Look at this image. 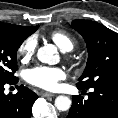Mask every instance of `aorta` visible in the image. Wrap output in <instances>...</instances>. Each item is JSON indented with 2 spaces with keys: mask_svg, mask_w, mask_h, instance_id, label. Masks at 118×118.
Returning a JSON list of instances; mask_svg holds the SVG:
<instances>
[{
  "mask_svg": "<svg viewBox=\"0 0 118 118\" xmlns=\"http://www.w3.org/2000/svg\"><path fill=\"white\" fill-rule=\"evenodd\" d=\"M57 49L53 45H45L38 49L37 57L42 63L55 64L57 62ZM55 107L59 111H67L71 107V100L67 96H58L55 99Z\"/></svg>",
  "mask_w": 118,
  "mask_h": 118,
  "instance_id": "aorta-1",
  "label": "aorta"
}]
</instances>
